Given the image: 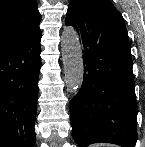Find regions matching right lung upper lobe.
Listing matches in <instances>:
<instances>
[{
	"label": "right lung upper lobe",
	"instance_id": "cb5924a9",
	"mask_svg": "<svg viewBox=\"0 0 145 147\" xmlns=\"http://www.w3.org/2000/svg\"><path fill=\"white\" fill-rule=\"evenodd\" d=\"M35 0H0V48L40 31Z\"/></svg>",
	"mask_w": 145,
	"mask_h": 147
}]
</instances>
